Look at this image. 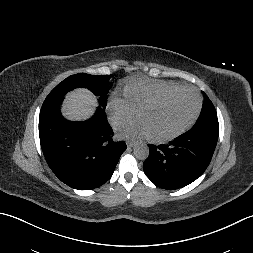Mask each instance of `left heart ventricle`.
Segmentation results:
<instances>
[{"label":"left heart ventricle","mask_w":253,"mask_h":253,"mask_svg":"<svg viewBox=\"0 0 253 253\" xmlns=\"http://www.w3.org/2000/svg\"><path fill=\"white\" fill-rule=\"evenodd\" d=\"M196 106V96L191 92L182 91L160 105L144 111L139 118L146 124L150 135L165 136L187 122Z\"/></svg>","instance_id":"obj_1"}]
</instances>
